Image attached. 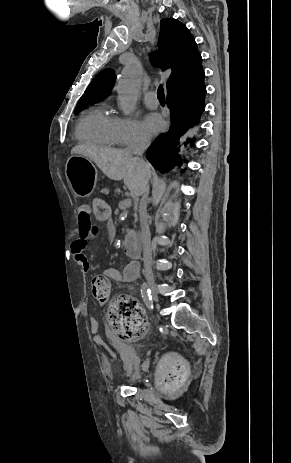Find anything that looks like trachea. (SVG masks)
<instances>
[{"label":"trachea","mask_w":291,"mask_h":463,"mask_svg":"<svg viewBox=\"0 0 291 463\" xmlns=\"http://www.w3.org/2000/svg\"><path fill=\"white\" fill-rule=\"evenodd\" d=\"M157 96L160 102H165V95H164V90H163L162 85L158 87Z\"/></svg>","instance_id":"1"}]
</instances>
